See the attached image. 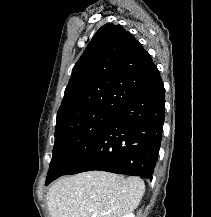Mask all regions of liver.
<instances>
[{"instance_id":"6515ba94","label":"liver","mask_w":211,"mask_h":217,"mask_svg":"<svg viewBox=\"0 0 211 217\" xmlns=\"http://www.w3.org/2000/svg\"><path fill=\"white\" fill-rule=\"evenodd\" d=\"M144 192L139 177L90 171L58 180L46 200L51 217H122L138 207Z\"/></svg>"}]
</instances>
